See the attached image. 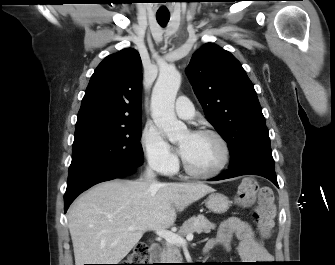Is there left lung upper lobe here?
<instances>
[{"mask_svg": "<svg viewBox=\"0 0 335 265\" xmlns=\"http://www.w3.org/2000/svg\"><path fill=\"white\" fill-rule=\"evenodd\" d=\"M186 72L207 119L229 145L230 168L275 170L257 93L239 61L207 43L193 54Z\"/></svg>", "mask_w": 335, "mask_h": 265, "instance_id": "1", "label": "left lung upper lobe"}]
</instances>
